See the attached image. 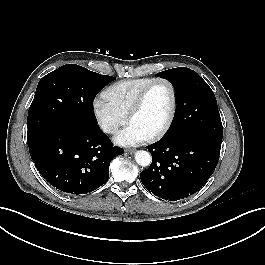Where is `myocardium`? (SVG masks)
I'll return each instance as SVG.
<instances>
[{
	"mask_svg": "<svg viewBox=\"0 0 265 265\" xmlns=\"http://www.w3.org/2000/svg\"><path fill=\"white\" fill-rule=\"evenodd\" d=\"M157 83H164L168 86L170 93H171V108H170L169 115H168L167 120L164 123V125L157 132H155L153 135L148 137V139L150 141H157V140L161 139L162 137H164L168 133V131L170 130V128L174 122L176 112H177V93H176V89H175V86L173 85V83L167 78H163V77L153 78L139 92V94L137 95L136 99L134 100V102H133V104L129 110V113L127 115L128 122H131L132 118L142 108L148 92Z\"/></svg>",
	"mask_w": 265,
	"mask_h": 265,
	"instance_id": "myocardium-1",
	"label": "myocardium"
}]
</instances>
